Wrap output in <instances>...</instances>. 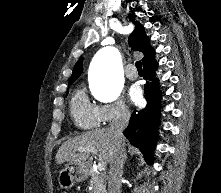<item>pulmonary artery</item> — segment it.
Masks as SVG:
<instances>
[{
    "instance_id": "1",
    "label": "pulmonary artery",
    "mask_w": 221,
    "mask_h": 193,
    "mask_svg": "<svg viewBox=\"0 0 221 193\" xmlns=\"http://www.w3.org/2000/svg\"><path fill=\"white\" fill-rule=\"evenodd\" d=\"M131 68H133L132 65H130L128 69L125 71V75L128 79L135 80L138 77V73L136 70H132Z\"/></svg>"
}]
</instances>
